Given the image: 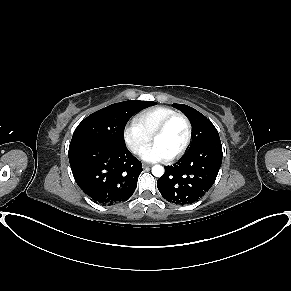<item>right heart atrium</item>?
I'll return each mask as SVG.
<instances>
[{"instance_id": "1", "label": "right heart atrium", "mask_w": 291, "mask_h": 291, "mask_svg": "<svg viewBox=\"0 0 291 291\" xmlns=\"http://www.w3.org/2000/svg\"><path fill=\"white\" fill-rule=\"evenodd\" d=\"M150 139L151 136L135 121L128 123L123 130V140L134 154H138Z\"/></svg>"}]
</instances>
